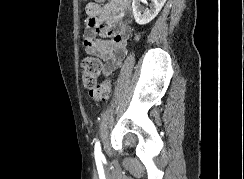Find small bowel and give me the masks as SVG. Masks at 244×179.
Here are the masks:
<instances>
[{"label":"small bowel","mask_w":244,"mask_h":179,"mask_svg":"<svg viewBox=\"0 0 244 179\" xmlns=\"http://www.w3.org/2000/svg\"><path fill=\"white\" fill-rule=\"evenodd\" d=\"M87 28L83 35L85 51L104 61L103 73L110 75L125 57L131 33V9L127 0L104 4L90 3L86 7Z\"/></svg>","instance_id":"small-bowel-1"}]
</instances>
